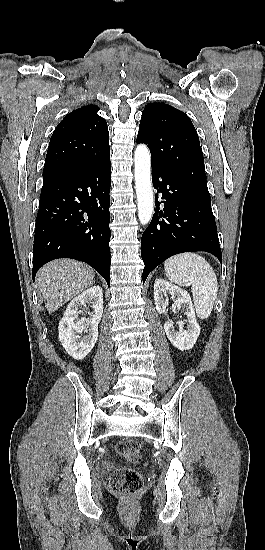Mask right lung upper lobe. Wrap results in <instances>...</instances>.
<instances>
[{
    "label": "right lung upper lobe",
    "mask_w": 265,
    "mask_h": 550,
    "mask_svg": "<svg viewBox=\"0 0 265 550\" xmlns=\"http://www.w3.org/2000/svg\"><path fill=\"white\" fill-rule=\"evenodd\" d=\"M95 105L78 108L58 124L50 139L43 179L78 167L95 165L110 157L109 132Z\"/></svg>",
    "instance_id": "obj_1"
}]
</instances>
